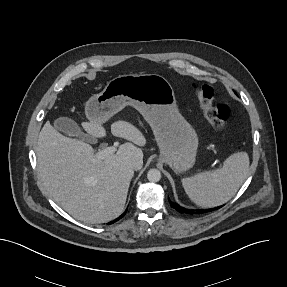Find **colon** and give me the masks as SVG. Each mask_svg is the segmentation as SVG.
<instances>
[{"mask_svg":"<svg viewBox=\"0 0 287 287\" xmlns=\"http://www.w3.org/2000/svg\"><path fill=\"white\" fill-rule=\"evenodd\" d=\"M194 90L207 121L215 129H223L230 114L229 107L225 104L216 105L214 103L213 90L209 85L197 83L194 84Z\"/></svg>","mask_w":287,"mask_h":287,"instance_id":"5ec220e1","label":"colon"}]
</instances>
